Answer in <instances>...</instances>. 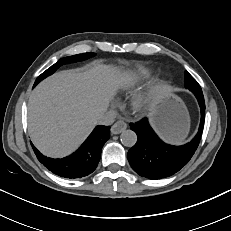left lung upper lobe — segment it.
<instances>
[{
  "label": "left lung upper lobe",
  "instance_id": "obj_1",
  "mask_svg": "<svg viewBox=\"0 0 231 231\" xmlns=\"http://www.w3.org/2000/svg\"><path fill=\"white\" fill-rule=\"evenodd\" d=\"M185 87L195 95H203L200 85L188 72L185 74Z\"/></svg>",
  "mask_w": 231,
  "mask_h": 231
}]
</instances>
